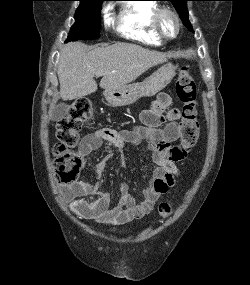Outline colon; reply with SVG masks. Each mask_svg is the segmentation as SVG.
<instances>
[{
  "label": "colon",
  "instance_id": "5ec220e1",
  "mask_svg": "<svg viewBox=\"0 0 250 285\" xmlns=\"http://www.w3.org/2000/svg\"><path fill=\"white\" fill-rule=\"evenodd\" d=\"M175 91L182 103L180 112L181 144L175 149L186 152L193 146L199 136L197 120V90L193 77L187 68H183L176 81ZM93 115L92 103L85 98L76 100L65 117L57 123L58 142L54 146L53 165L58 179L64 184L74 183L83 167V157L75 147L80 141V131L85 121ZM170 156V153L167 154ZM158 212L161 217L167 218L173 212L170 202L159 204Z\"/></svg>",
  "mask_w": 250,
  "mask_h": 285
}]
</instances>
